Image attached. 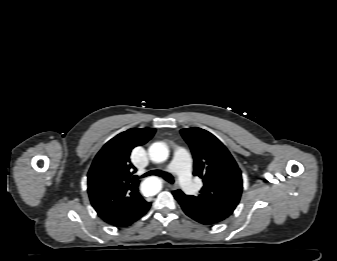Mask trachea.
<instances>
[{"label": "trachea", "instance_id": "obj_1", "mask_svg": "<svg viewBox=\"0 0 337 261\" xmlns=\"http://www.w3.org/2000/svg\"><path fill=\"white\" fill-rule=\"evenodd\" d=\"M150 175H157V176H161L163 177L166 181H168L169 183H174V178L167 173H163L161 171H150L145 173L144 175H142L141 177H146V176H150Z\"/></svg>", "mask_w": 337, "mask_h": 261}]
</instances>
